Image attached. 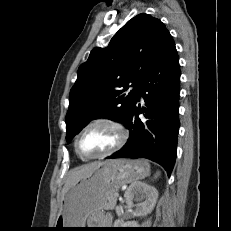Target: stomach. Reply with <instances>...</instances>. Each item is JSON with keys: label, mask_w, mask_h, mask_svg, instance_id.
<instances>
[{"label": "stomach", "mask_w": 231, "mask_h": 231, "mask_svg": "<svg viewBox=\"0 0 231 231\" xmlns=\"http://www.w3.org/2000/svg\"><path fill=\"white\" fill-rule=\"evenodd\" d=\"M149 172L150 165L146 160L116 159L105 162L90 176L68 189L56 218L55 230L85 228L90 215L108 208L110 198L117 194L121 186L139 181Z\"/></svg>", "instance_id": "obj_1"}]
</instances>
